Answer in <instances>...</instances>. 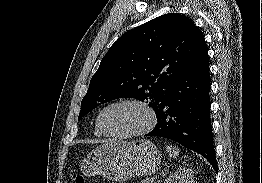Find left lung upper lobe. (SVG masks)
<instances>
[{
    "label": "left lung upper lobe",
    "instance_id": "1",
    "mask_svg": "<svg viewBox=\"0 0 262 183\" xmlns=\"http://www.w3.org/2000/svg\"><path fill=\"white\" fill-rule=\"evenodd\" d=\"M207 48L186 16H159L123 34L102 58L81 102L79 120L100 103L129 97L149 100L157 112L176 78Z\"/></svg>",
    "mask_w": 262,
    "mask_h": 183
}]
</instances>
